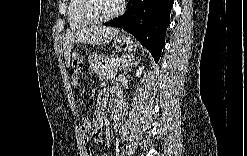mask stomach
I'll list each match as a JSON object with an SVG mask.
<instances>
[{
    "instance_id": "obj_1",
    "label": "stomach",
    "mask_w": 247,
    "mask_h": 156,
    "mask_svg": "<svg viewBox=\"0 0 247 156\" xmlns=\"http://www.w3.org/2000/svg\"><path fill=\"white\" fill-rule=\"evenodd\" d=\"M115 41L118 44H120V46L125 51H135L136 50V44L131 39V37L127 34L123 33V34L117 35L115 38ZM88 60H89L90 67L93 71L98 69L99 65L102 63V57L96 53L89 55Z\"/></svg>"
}]
</instances>
